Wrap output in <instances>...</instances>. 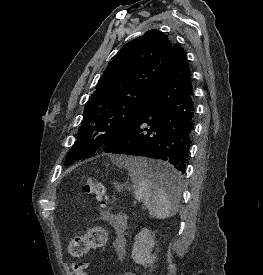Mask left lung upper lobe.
Wrapping results in <instances>:
<instances>
[{
  "label": "left lung upper lobe",
  "instance_id": "left-lung-upper-lobe-1",
  "mask_svg": "<svg viewBox=\"0 0 263 275\" xmlns=\"http://www.w3.org/2000/svg\"><path fill=\"white\" fill-rule=\"evenodd\" d=\"M177 49L164 33L152 29L126 45L112 58L86 103L79 141L65 165L91 157L129 130L160 86Z\"/></svg>",
  "mask_w": 263,
  "mask_h": 275
}]
</instances>
